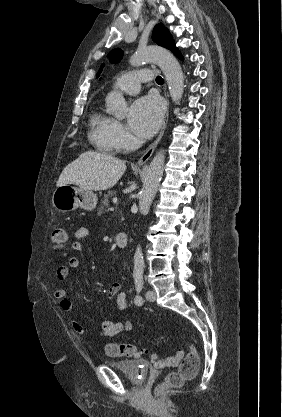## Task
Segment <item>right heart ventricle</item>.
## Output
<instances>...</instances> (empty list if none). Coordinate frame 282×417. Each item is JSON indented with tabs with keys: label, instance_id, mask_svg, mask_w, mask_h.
I'll return each instance as SVG.
<instances>
[{
	"label": "right heart ventricle",
	"instance_id": "right-heart-ventricle-1",
	"mask_svg": "<svg viewBox=\"0 0 282 417\" xmlns=\"http://www.w3.org/2000/svg\"><path fill=\"white\" fill-rule=\"evenodd\" d=\"M90 140L99 148L114 151L118 148L116 141V120L110 115L97 110L90 119Z\"/></svg>",
	"mask_w": 282,
	"mask_h": 417
}]
</instances>
